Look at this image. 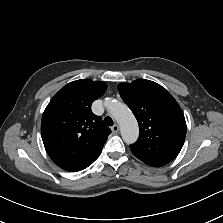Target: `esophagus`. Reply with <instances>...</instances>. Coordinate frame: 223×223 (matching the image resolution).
<instances>
[{"label": "esophagus", "instance_id": "obj_1", "mask_svg": "<svg viewBox=\"0 0 223 223\" xmlns=\"http://www.w3.org/2000/svg\"><path fill=\"white\" fill-rule=\"evenodd\" d=\"M111 131L113 134H117L118 131H119V126L118 124H114L112 127H111Z\"/></svg>", "mask_w": 223, "mask_h": 223}]
</instances>
